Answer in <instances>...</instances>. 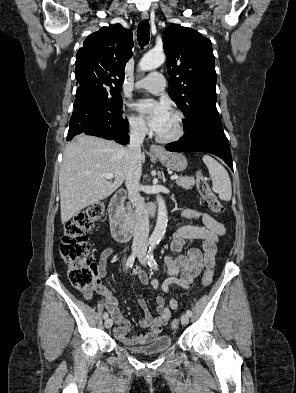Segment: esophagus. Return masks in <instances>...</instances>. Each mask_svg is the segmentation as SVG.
I'll use <instances>...</instances> for the list:
<instances>
[{
    "label": "esophagus",
    "instance_id": "1",
    "mask_svg": "<svg viewBox=\"0 0 296 393\" xmlns=\"http://www.w3.org/2000/svg\"><path fill=\"white\" fill-rule=\"evenodd\" d=\"M141 16H142V18H143L144 20H146V19L149 18V14H148L147 11H143L142 14H141ZM150 151H151L152 153H154V154H160V153L163 152V148H162L161 146H159V145L153 144V145L150 146Z\"/></svg>",
    "mask_w": 296,
    "mask_h": 393
}]
</instances>
